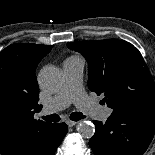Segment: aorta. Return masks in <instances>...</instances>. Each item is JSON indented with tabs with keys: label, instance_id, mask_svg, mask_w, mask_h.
<instances>
[{
	"label": "aorta",
	"instance_id": "aorta-1",
	"mask_svg": "<svg viewBox=\"0 0 155 155\" xmlns=\"http://www.w3.org/2000/svg\"><path fill=\"white\" fill-rule=\"evenodd\" d=\"M62 78L61 70L53 65L44 66L38 74L40 86L49 92H55L61 87ZM77 131L83 138L90 139L95 133V126L84 120L78 124Z\"/></svg>",
	"mask_w": 155,
	"mask_h": 155
}]
</instances>
